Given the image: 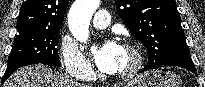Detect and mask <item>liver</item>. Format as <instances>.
<instances>
[{
	"label": "liver",
	"instance_id": "1",
	"mask_svg": "<svg viewBox=\"0 0 205 87\" xmlns=\"http://www.w3.org/2000/svg\"><path fill=\"white\" fill-rule=\"evenodd\" d=\"M3 87H86L44 65L26 66L14 72Z\"/></svg>",
	"mask_w": 205,
	"mask_h": 87
}]
</instances>
